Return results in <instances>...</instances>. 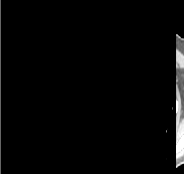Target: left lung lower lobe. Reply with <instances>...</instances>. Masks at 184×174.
Instances as JSON below:
<instances>
[{
    "instance_id": "obj_1",
    "label": "left lung lower lobe",
    "mask_w": 184,
    "mask_h": 174,
    "mask_svg": "<svg viewBox=\"0 0 184 174\" xmlns=\"http://www.w3.org/2000/svg\"><path fill=\"white\" fill-rule=\"evenodd\" d=\"M161 138L162 134L125 125L122 134L113 141L117 150L123 153L142 155L152 149Z\"/></svg>"
}]
</instances>
